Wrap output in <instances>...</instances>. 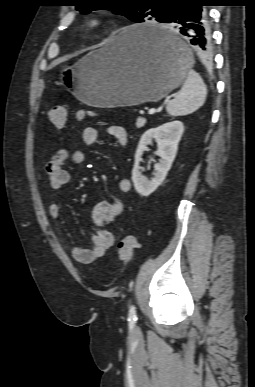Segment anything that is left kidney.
I'll return each instance as SVG.
<instances>
[{
  "label": "left kidney",
  "instance_id": "1",
  "mask_svg": "<svg viewBox=\"0 0 255 387\" xmlns=\"http://www.w3.org/2000/svg\"><path fill=\"white\" fill-rule=\"evenodd\" d=\"M183 132L184 125L181 121H171L159 127L151 128L142 135L135 153V163L132 170V181L140 195L149 196L162 184L175 159L178 143ZM153 139H155L158 146L155 155L161 159L159 163L154 164V177L149 181L142 175L139 163L142 160L144 151L148 149L147 145L152 144Z\"/></svg>",
  "mask_w": 255,
  "mask_h": 387
}]
</instances>
